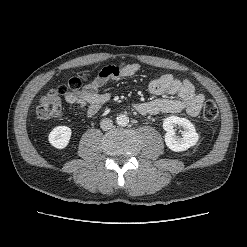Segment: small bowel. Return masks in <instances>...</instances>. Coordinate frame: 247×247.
<instances>
[{
	"label": "small bowel",
	"instance_id": "1",
	"mask_svg": "<svg viewBox=\"0 0 247 247\" xmlns=\"http://www.w3.org/2000/svg\"><path fill=\"white\" fill-rule=\"evenodd\" d=\"M140 69L141 66L137 63L106 66L82 89L65 92V101L72 107L87 106V114L92 117L110 99L108 92H100L101 87L108 81H119L130 77ZM147 89L153 95L177 97H160L134 104V109L141 115L179 113L185 110L189 115L197 116L204 101V96L195 90L189 80L180 79L173 74H164L152 80Z\"/></svg>",
	"mask_w": 247,
	"mask_h": 247
}]
</instances>
